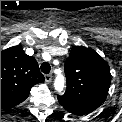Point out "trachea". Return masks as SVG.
<instances>
[{
  "label": "trachea",
  "instance_id": "obj_1",
  "mask_svg": "<svg viewBox=\"0 0 122 122\" xmlns=\"http://www.w3.org/2000/svg\"><path fill=\"white\" fill-rule=\"evenodd\" d=\"M50 70H51V66H50L49 63L43 62V63L41 64V71H42L44 74H49Z\"/></svg>",
  "mask_w": 122,
  "mask_h": 122
}]
</instances>
